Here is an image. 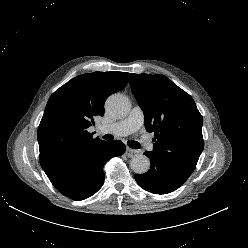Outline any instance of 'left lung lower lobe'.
<instances>
[{
    "label": "left lung lower lobe",
    "mask_w": 248,
    "mask_h": 248,
    "mask_svg": "<svg viewBox=\"0 0 248 248\" xmlns=\"http://www.w3.org/2000/svg\"><path fill=\"white\" fill-rule=\"evenodd\" d=\"M144 154L150 158V169L144 174L135 175V180L143 189L155 194H167L186 181L170 167L153 158L150 152L146 151Z\"/></svg>",
    "instance_id": "obj_1"
}]
</instances>
